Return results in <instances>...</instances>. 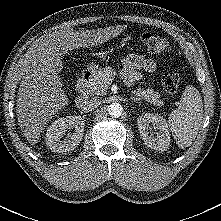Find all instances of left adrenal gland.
I'll return each mask as SVG.
<instances>
[{"mask_svg": "<svg viewBox=\"0 0 221 221\" xmlns=\"http://www.w3.org/2000/svg\"><path fill=\"white\" fill-rule=\"evenodd\" d=\"M137 101H140V99H139V98L132 97V102H137Z\"/></svg>", "mask_w": 221, "mask_h": 221, "instance_id": "obj_1", "label": "left adrenal gland"}]
</instances>
